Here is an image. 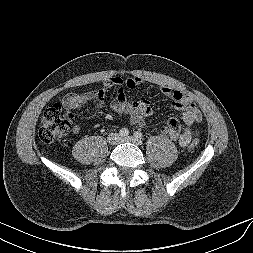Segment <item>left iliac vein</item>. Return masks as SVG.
<instances>
[{
    "label": "left iliac vein",
    "instance_id": "4c4485c4",
    "mask_svg": "<svg viewBox=\"0 0 253 253\" xmlns=\"http://www.w3.org/2000/svg\"><path fill=\"white\" fill-rule=\"evenodd\" d=\"M121 141L122 142H131V143H134L136 145H139L140 144V141L135 139L134 137L132 136H127V137H122L121 138Z\"/></svg>",
    "mask_w": 253,
    "mask_h": 253
}]
</instances>
